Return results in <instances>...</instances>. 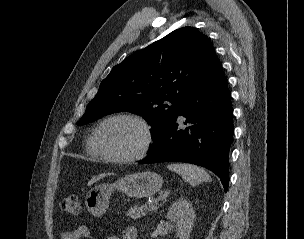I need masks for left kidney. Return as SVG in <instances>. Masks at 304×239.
Wrapping results in <instances>:
<instances>
[{"instance_id":"obj_1","label":"left kidney","mask_w":304,"mask_h":239,"mask_svg":"<svg viewBox=\"0 0 304 239\" xmlns=\"http://www.w3.org/2000/svg\"><path fill=\"white\" fill-rule=\"evenodd\" d=\"M195 213L190 202L181 197L169 208L167 218L174 223L180 239H189L194 223Z\"/></svg>"}]
</instances>
